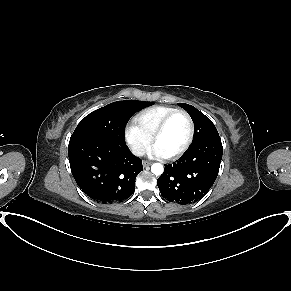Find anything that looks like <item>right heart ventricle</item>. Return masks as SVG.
I'll use <instances>...</instances> for the list:
<instances>
[{"label": "right heart ventricle", "mask_w": 291, "mask_h": 291, "mask_svg": "<svg viewBox=\"0 0 291 291\" xmlns=\"http://www.w3.org/2000/svg\"><path fill=\"white\" fill-rule=\"evenodd\" d=\"M177 110L169 106H155L138 113L135 123L151 138L161 121L171 112Z\"/></svg>", "instance_id": "right-heart-ventricle-1"}]
</instances>
